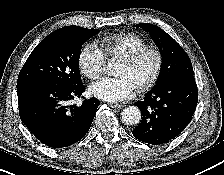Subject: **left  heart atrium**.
I'll use <instances>...</instances> for the list:
<instances>
[{"instance_id": "obj_1", "label": "left heart atrium", "mask_w": 224, "mask_h": 175, "mask_svg": "<svg viewBox=\"0 0 224 175\" xmlns=\"http://www.w3.org/2000/svg\"><path fill=\"white\" fill-rule=\"evenodd\" d=\"M136 90V86L126 76L104 77L94 82L90 88V93L107 102H120L131 98Z\"/></svg>"}]
</instances>
